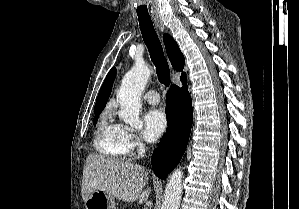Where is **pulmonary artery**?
I'll return each instance as SVG.
<instances>
[{"instance_id":"obj_1","label":"pulmonary artery","mask_w":299,"mask_h":209,"mask_svg":"<svg viewBox=\"0 0 299 209\" xmlns=\"http://www.w3.org/2000/svg\"><path fill=\"white\" fill-rule=\"evenodd\" d=\"M143 99L152 105H156L160 102L159 94L156 90H149L143 95Z\"/></svg>"}]
</instances>
